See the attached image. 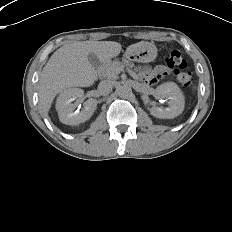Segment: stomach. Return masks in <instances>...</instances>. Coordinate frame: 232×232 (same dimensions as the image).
<instances>
[{"label":"stomach","mask_w":232,"mask_h":232,"mask_svg":"<svg viewBox=\"0 0 232 232\" xmlns=\"http://www.w3.org/2000/svg\"><path fill=\"white\" fill-rule=\"evenodd\" d=\"M157 48L152 43H146L132 53H126V57L133 61L149 63L155 60Z\"/></svg>","instance_id":"stomach-1"}]
</instances>
